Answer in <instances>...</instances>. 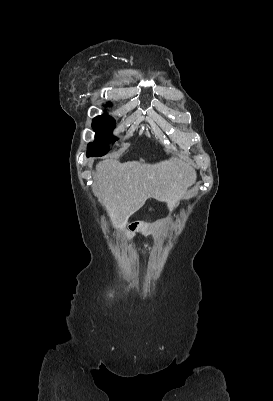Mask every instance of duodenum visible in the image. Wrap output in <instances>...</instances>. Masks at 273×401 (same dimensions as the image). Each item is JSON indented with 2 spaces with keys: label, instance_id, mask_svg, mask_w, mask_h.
Here are the masks:
<instances>
[{
  "label": "duodenum",
  "instance_id": "duodenum-1",
  "mask_svg": "<svg viewBox=\"0 0 273 401\" xmlns=\"http://www.w3.org/2000/svg\"><path fill=\"white\" fill-rule=\"evenodd\" d=\"M137 227H138L137 224H133L130 228L131 230H135Z\"/></svg>",
  "mask_w": 273,
  "mask_h": 401
}]
</instances>
